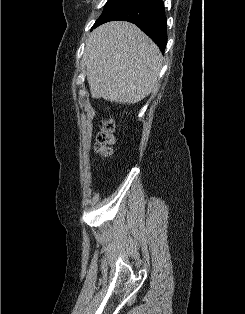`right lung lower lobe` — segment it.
Here are the masks:
<instances>
[{"label": "right lung lower lobe", "instance_id": "1", "mask_svg": "<svg viewBox=\"0 0 245 314\" xmlns=\"http://www.w3.org/2000/svg\"><path fill=\"white\" fill-rule=\"evenodd\" d=\"M114 20L134 23L158 45L161 51L165 50L167 19L162 0H128L95 27Z\"/></svg>", "mask_w": 245, "mask_h": 314}]
</instances>
